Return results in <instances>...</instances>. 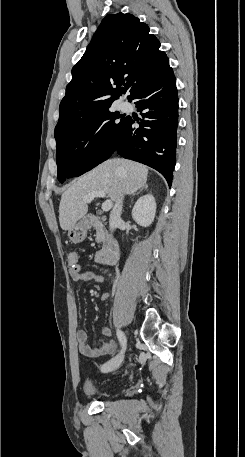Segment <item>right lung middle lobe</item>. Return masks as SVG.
Returning a JSON list of instances; mask_svg holds the SVG:
<instances>
[{
  "instance_id": "obj_1",
  "label": "right lung middle lobe",
  "mask_w": 245,
  "mask_h": 457,
  "mask_svg": "<svg viewBox=\"0 0 245 457\" xmlns=\"http://www.w3.org/2000/svg\"><path fill=\"white\" fill-rule=\"evenodd\" d=\"M110 106L55 129L57 177L61 183L84 174L114 153L125 115L111 112Z\"/></svg>"
}]
</instances>
